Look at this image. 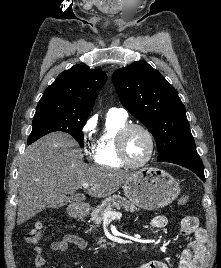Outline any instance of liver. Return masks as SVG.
Returning a JSON list of instances; mask_svg holds the SVG:
<instances>
[{"label": "liver", "instance_id": "1", "mask_svg": "<svg viewBox=\"0 0 221 268\" xmlns=\"http://www.w3.org/2000/svg\"><path fill=\"white\" fill-rule=\"evenodd\" d=\"M65 133H51L28 146L19 164L17 224L21 225L46 208L73 195L88 183V195L107 197L116 192L133 174L83 162L80 149Z\"/></svg>", "mask_w": 221, "mask_h": 268}]
</instances>
